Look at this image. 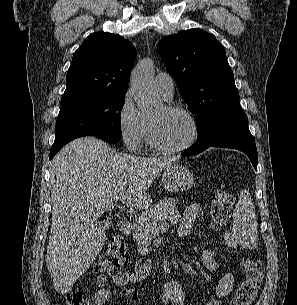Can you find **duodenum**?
Masks as SVG:
<instances>
[{
	"mask_svg": "<svg viewBox=\"0 0 297 305\" xmlns=\"http://www.w3.org/2000/svg\"><path fill=\"white\" fill-rule=\"evenodd\" d=\"M118 228L123 234L128 235L132 231V223L129 219H122L118 222Z\"/></svg>",
	"mask_w": 297,
	"mask_h": 305,
	"instance_id": "1",
	"label": "duodenum"
}]
</instances>
